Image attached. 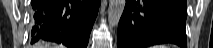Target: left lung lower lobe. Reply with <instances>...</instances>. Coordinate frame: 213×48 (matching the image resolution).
<instances>
[{
	"label": "left lung lower lobe",
	"mask_w": 213,
	"mask_h": 48,
	"mask_svg": "<svg viewBox=\"0 0 213 48\" xmlns=\"http://www.w3.org/2000/svg\"><path fill=\"white\" fill-rule=\"evenodd\" d=\"M186 17V0H126L117 48H147L161 43L187 48Z\"/></svg>",
	"instance_id": "obj_1"
}]
</instances>
